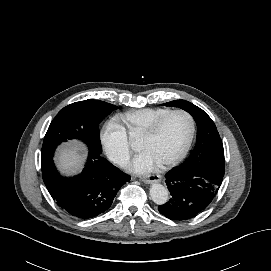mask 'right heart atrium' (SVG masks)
I'll return each instance as SVG.
<instances>
[{
    "mask_svg": "<svg viewBox=\"0 0 271 271\" xmlns=\"http://www.w3.org/2000/svg\"><path fill=\"white\" fill-rule=\"evenodd\" d=\"M100 142L108 158L125 166L132 153L127 132L115 120L108 121L100 131Z\"/></svg>",
    "mask_w": 271,
    "mask_h": 271,
    "instance_id": "1",
    "label": "right heart atrium"
}]
</instances>
